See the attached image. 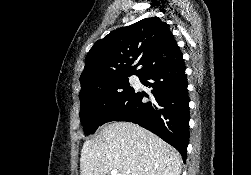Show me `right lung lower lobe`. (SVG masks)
<instances>
[{
	"mask_svg": "<svg viewBox=\"0 0 251 175\" xmlns=\"http://www.w3.org/2000/svg\"><path fill=\"white\" fill-rule=\"evenodd\" d=\"M139 78L145 86L152 88L151 100L142 101L143 97H150L134 90L105 115L102 125L110 121L136 123L175 147L185 162L190 113L183 59Z\"/></svg>",
	"mask_w": 251,
	"mask_h": 175,
	"instance_id": "right-lung-lower-lobe-1",
	"label": "right lung lower lobe"
}]
</instances>
